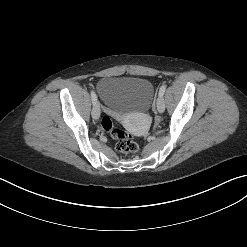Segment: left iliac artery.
<instances>
[{
    "label": "left iliac artery",
    "mask_w": 247,
    "mask_h": 247,
    "mask_svg": "<svg viewBox=\"0 0 247 247\" xmlns=\"http://www.w3.org/2000/svg\"><path fill=\"white\" fill-rule=\"evenodd\" d=\"M166 85L164 84V85H162L161 86V88H160V90H159V95L160 96H163L164 95V92H165V90H166Z\"/></svg>",
    "instance_id": "obj_1"
}]
</instances>
